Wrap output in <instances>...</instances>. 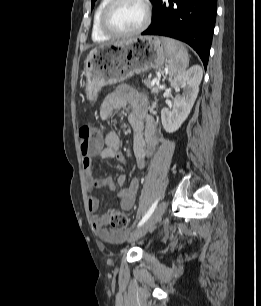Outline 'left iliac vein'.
Wrapping results in <instances>:
<instances>
[{
  "label": "left iliac vein",
  "instance_id": "1",
  "mask_svg": "<svg viewBox=\"0 0 261 306\" xmlns=\"http://www.w3.org/2000/svg\"><path fill=\"white\" fill-rule=\"evenodd\" d=\"M166 207L167 203L165 201L160 203L156 210L152 213L150 218L130 235V237L128 238V242L136 241L137 239L141 238L148 230H150L162 217L166 210Z\"/></svg>",
  "mask_w": 261,
  "mask_h": 306
}]
</instances>
